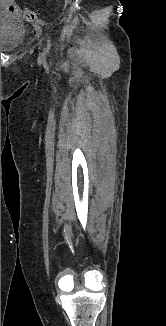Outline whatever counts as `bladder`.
<instances>
[{"label": "bladder", "instance_id": "1", "mask_svg": "<svg viewBox=\"0 0 166 326\" xmlns=\"http://www.w3.org/2000/svg\"><path fill=\"white\" fill-rule=\"evenodd\" d=\"M24 33L23 19L10 11L1 10V51L17 48L22 42Z\"/></svg>", "mask_w": 166, "mask_h": 326}]
</instances>
